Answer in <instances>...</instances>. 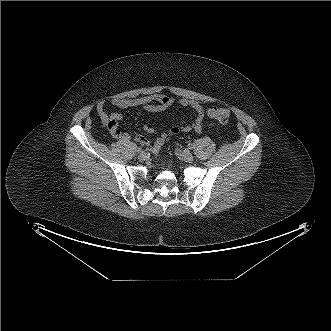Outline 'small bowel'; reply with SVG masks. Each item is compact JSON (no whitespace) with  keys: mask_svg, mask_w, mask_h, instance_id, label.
I'll list each match as a JSON object with an SVG mask.
<instances>
[{"mask_svg":"<svg viewBox=\"0 0 331 331\" xmlns=\"http://www.w3.org/2000/svg\"><path fill=\"white\" fill-rule=\"evenodd\" d=\"M175 103L182 107L190 108L194 112L195 117L190 124L184 126H173L168 129V131L162 132L153 141H149L147 138L141 135L135 136V140L138 143L147 146L152 151L159 149L164 144L169 135H177L181 132L190 131L200 133L203 129V118L205 115L203 104L197 100H175L174 98L164 94H151L135 98H114L111 100V104L120 109L138 107L151 113L163 112ZM96 110L100 121L108 128L112 137L130 140V134L123 133L119 129V124L123 120L122 114L118 112L108 113L105 109L104 101L98 103ZM143 130L147 134H154L156 132L155 128L149 124H145L143 126Z\"/></svg>","mask_w":331,"mask_h":331,"instance_id":"c3829d8e","label":"small bowel"}]
</instances>
